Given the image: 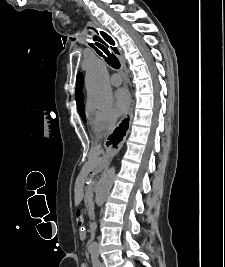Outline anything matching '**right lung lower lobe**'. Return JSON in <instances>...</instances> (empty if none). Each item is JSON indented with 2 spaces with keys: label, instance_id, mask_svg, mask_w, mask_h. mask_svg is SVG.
<instances>
[{
  "label": "right lung lower lobe",
  "instance_id": "98d812e1",
  "mask_svg": "<svg viewBox=\"0 0 225 267\" xmlns=\"http://www.w3.org/2000/svg\"><path fill=\"white\" fill-rule=\"evenodd\" d=\"M126 121H127V120H126ZM126 121H124L122 124H124ZM122 124H121V125H122ZM121 125H120V127H121ZM120 127L117 128V129L114 131V133L109 137V139H110L109 144H113L114 147H115V146L117 145V143H118V134H119V129H120Z\"/></svg>",
  "mask_w": 225,
  "mask_h": 267
}]
</instances>
